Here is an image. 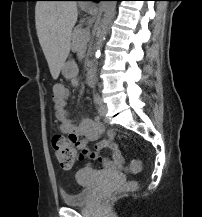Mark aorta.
<instances>
[{
	"label": "aorta",
	"instance_id": "aorta-1",
	"mask_svg": "<svg viewBox=\"0 0 202 217\" xmlns=\"http://www.w3.org/2000/svg\"><path fill=\"white\" fill-rule=\"evenodd\" d=\"M101 7L104 12V15L99 30L97 32L96 54H95L96 58L100 56V49L105 40L108 31V26L114 17L115 9H116V1H103L101 3Z\"/></svg>",
	"mask_w": 202,
	"mask_h": 217
}]
</instances>
